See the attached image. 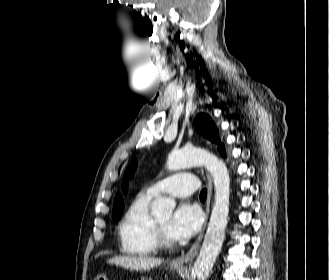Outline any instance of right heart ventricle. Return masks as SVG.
<instances>
[{
    "mask_svg": "<svg viewBox=\"0 0 329 280\" xmlns=\"http://www.w3.org/2000/svg\"><path fill=\"white\" fill-rule=\"evenodd\" d=\"M154 195L139 194L127 208L118 228L121 250L132 256H147L156 249L150 204Z\"/></svg>",
    "mask_w": 329,
    "mask_h": 280,
    "instance_id": "right-heart-ventricle-1",
    "label": "right heart ventricle"
}]
</instances>
